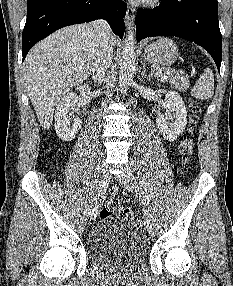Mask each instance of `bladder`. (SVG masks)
Returning <instances> with one entry per match:
<instances>
[{"instance_id": "1", "label": "bladder", "mask_w": 233, "mask_h": 286, "mask_svg": "<svg viewBox=\"0 0 233 286\" xmlns=\"http://www.w3.org/2000/svg\"><path fill=\"white\" fill-rule=\"evenodd\" d=\"M87 248L91 260L110 269H133L147 259L150 246L136 228L103 218L91 231Z\"/></svg>"}]
</instances>
